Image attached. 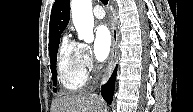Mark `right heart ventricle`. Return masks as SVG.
<instances>
[{"label":"right heart ventricle","instance_id":"e07e8e85","mask_svg":"<svg viewBox=\"0 0 193 112\" xmlns=\"http://www.w3.org/2000/svg\"><path fill=\"white\" fill-rule=\"evenodd\" d=\"M57 72L61 86L67 91H78L86 84L87 73L81 61L78 44L70 42L66 37L59 48Z\"/></svg>","mask_w":193,"mask_h":112}]
</instances>
